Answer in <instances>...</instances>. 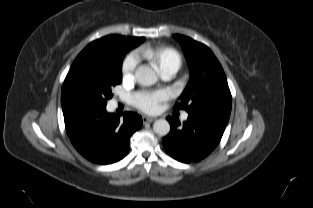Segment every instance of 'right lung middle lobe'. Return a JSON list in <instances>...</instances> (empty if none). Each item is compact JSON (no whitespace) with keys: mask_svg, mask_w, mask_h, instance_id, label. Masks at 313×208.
Listing matches in <instances>:
<instances>
[{"mask_svg":"<svg viewBox=\"0 0 313 208\" xmlns=\"http://www.w3.org/2000/svg\"><path fill=\"white\" fill-rule=\"evenodd\" d=\"M130 48L121 43L111 44L103 58L71 67L62 85L61 97H78L106 105L112 88L121 83L122 60Z\"/></svg>","mask_w":313,"mask_h":208,"instance_id":"obj_1","label":"right lung middle lobe"}]
</instances>
